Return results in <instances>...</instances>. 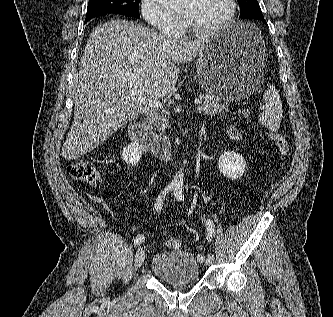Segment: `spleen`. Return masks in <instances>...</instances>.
Listing matches in <instances>:
<instances>
[{
    "label": "spleen",
    "mask_w": 333,
    "mask_h": 317,
    "mask_svg": "<svg viewBox=\"0 0 333 317\" xmlns=\"http://www.w3.org/2000/svg\"><path fill=\"white\" fill-rule=\"evenodd\" d=\"M265 110L259 115V122L271 131L279 129L282 120V103L275 86L270 85L264 92Z\"/></svg>",
    "instance_id": "spleen-1"
}]
</instances>
